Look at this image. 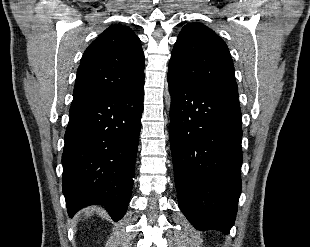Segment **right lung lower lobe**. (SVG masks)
<instances>
[{"label":"right lung lower lobe","instance_id":"right-lung-lower-lobe-1","mask_svg":"<svg viewBox=\"0 0 310 247\" xmlns=\"http://www.w3.org/2000/svg\"><path fill=\"white\" fill-rule=\"evenodd\" d=\"M144 85L134 91L74 99L62 155L68 214L92 204L120 220L130 200Z\"/></svg>","mask_w":310,"mask_h":247}]
</instances>
